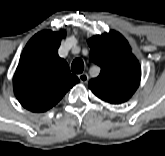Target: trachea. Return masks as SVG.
<instances>
[{"label":"trachea","mask_w":165,"mask_h":156,"mask_svg":"<svg viewBox=\"0 0 165 156\" xmlns=\"http://www.w3.org/2000/svg\"><path fill=\"white\" fill-rule=\"evenodd\" d=\"M71 70L75 74L82 73L84 70V62L80 58L75 59L71 64Z\"/></svg>","instance_id":"3493384b"}]
</instances>
